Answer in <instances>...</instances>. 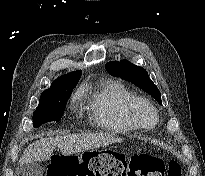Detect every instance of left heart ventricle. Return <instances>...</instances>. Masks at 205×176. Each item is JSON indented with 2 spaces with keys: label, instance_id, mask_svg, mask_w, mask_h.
I'll use <instances>...</instances> for the list:
<instances>
[{
  "label": "left heart ventricle",
  "instance_id": "b2bd125f",
  "mask_svg": "<svg viewBox=\"0 0 205 176\" xmlns=\"http://www.w3.org/2000/svg\"><path fill=\"white\" fill-rule=\"evenodd\" d=\"M139 117H140L141 121L145 124H151L155 120L154 114L146 108H142L140 110Z\"/></svg>",
  "mask_w": 205,
  "mask_h": 176
}]
</instances>
